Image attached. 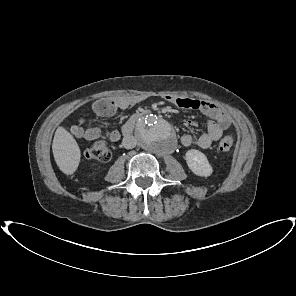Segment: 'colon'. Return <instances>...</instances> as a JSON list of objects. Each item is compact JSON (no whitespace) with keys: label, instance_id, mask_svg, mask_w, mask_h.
<instances>
[{"label":"colon","instance_id":"obj_1","mask_svg":"<svg viewBox=\"0 0 296 296\" xmlns=\"http://www.w3.org/2000/svg\"><path fill=\"white\" fill-rule=\"evenodd\" d=\"M234 142V136L228 135L219 141L218 150L222 152L229 151ZM85 156L98 162H107L111 158V149L106 141L98 140L86 149Z\"/></svg>","mask_w":296,"mask_h":296}]
</instances>
